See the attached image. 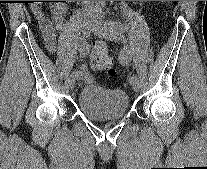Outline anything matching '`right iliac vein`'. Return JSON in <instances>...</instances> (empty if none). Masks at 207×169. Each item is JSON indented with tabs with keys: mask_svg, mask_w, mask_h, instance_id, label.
Listing matches in <instances>:
<instances>
[{
	"mask_svg": "<svg viewBox=\"0 0 207 169\" xmlns=\"http://www.w3.org/2000/svg\"><path fill=\"white\" fill-rule=\"evenodd\" d=\"M93 22L91 19H85L82 28H83V33L85 36H89L91 30H92ZM68 83L71 89H73L76 85V77L70 76L68 79Z\"/></svg>",
	"mask_w": 207,
	"mask_h": 169,
	"instance_id": "obj_1",
	"label": "right iliac vein"
}]
</instances>
